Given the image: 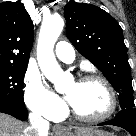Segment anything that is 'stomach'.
Returning <instances> with one entry per match:
<instances>
[{
    "mask_svg": "<svg viewBox=\"0 0 136 136\" xmlns=\"http://www.w3.org/2000/svg\"><path fill=\"white\" fill-rule=\"evenodd\" d=\"M58 136H113V134L103 130L92 129L90 131L83 132V133L76 132L75 135L71 132H65L63 134H59Z\"/></svg>",
    "mask_w": 136,
    "mask_h": 136,
    "instance_id": "1",
    "label": "stomach"
}]
</instances>
